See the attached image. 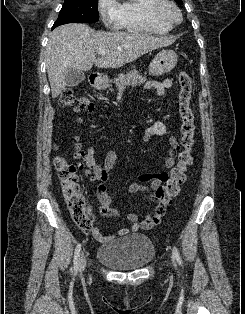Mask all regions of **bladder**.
I'll list each match as a JSON object with an SVG mask.
<instances>
[{
    "mask_svg": "<svg viewBox=\"0 0 245 314\" xmlns=\"http://www.w3.org/2000/svg\"><path fill=\"white\" fill-rule=\"evenodd\" d=\"M155 248L150 238L143 234H131L101 246L97 259L118 270H134L151 262Z\"/></svg>",
    "mask_w": 245,
    "mask_h": 314,
    "instance_id": "1",
    "label": "bladder"
}]
</instances>
